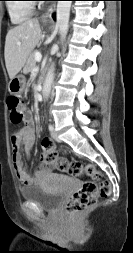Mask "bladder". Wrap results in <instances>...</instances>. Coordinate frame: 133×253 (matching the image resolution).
Here are the masks:
<instances>
[{
	"instance_id": "31cf9c89",
	"label": "bladder",
	"mask_w": 133,
	"mask_h": 253,
	"mask_svg": "<svg viewBox=\"0 0 133 253\" xmlns=\"http://www.w3.org/2000/svg\"><path fill=\"white\" fill-rule=\"evenodd\" d=\"M20 195L23 200L34 203L40 209L53 212L55 211L63 198L59 191H51L41 185H28L20 189Z\"/></svg>"
}]
</instances>
